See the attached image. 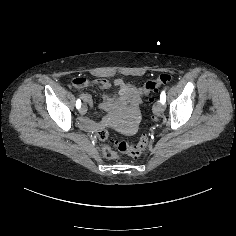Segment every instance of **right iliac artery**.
<instances>
[{"instance_id":"obj_1","label":"right iliac artery","mask_w":236,"mask_h":236,"mask_svg":"<svg viewBox=\"0 0 236 236\" xmlns=\"http://www.w3.org/2000/svg\"><path fill=\"white\" fill-rule=\"evenodd\" d=\"M80 107H81V100L78 99V100L76 101V108L79 109Z\"/></svg>"}]
</instances>
